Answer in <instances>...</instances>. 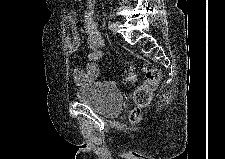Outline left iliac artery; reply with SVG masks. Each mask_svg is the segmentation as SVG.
I'll return each mask as SVG.
<instances>
[{"instance_id": "44dca946", "label": "left iliac artery", "mask_w": 225, "mask_h": 159, "mask_svg": "<svg viewBox=\"0 0 225 159\" xmlns=\"http://www.w3.org/2000/svg\"><path fill=\"white\" fill-rule=\"evenodd\" d=\"M112 27H113V23L112 22H109L108 23V28L111 29Z\"/></svg>"}]
</instances>
